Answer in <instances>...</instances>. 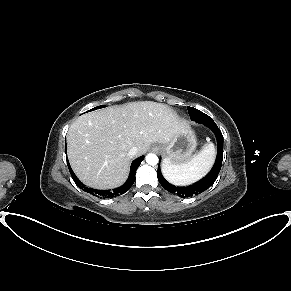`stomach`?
<instances>
[{"label": "stomach", "mask_w": 291, "mask_h": 291, "mask_svg": "<svg viewBox=\"0 0 291 291\" xmlns=\"http://www.w3.org/2000/svg\"><path fill=\"white\" fill-rule=\"evenodd\" d=\"M195 147V135L190 128L187 127L176 134L168 144L160 146L159 149L165 155V160H169L174 164H182L191 158Z\"/></svg>", "instance_id": "0dacf381"}]
</instances>
